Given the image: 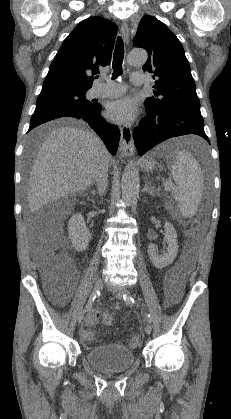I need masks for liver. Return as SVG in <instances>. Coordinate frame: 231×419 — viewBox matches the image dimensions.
I'll use <instances>...</instances> for the list:
<instances>
[{
	"label": "liver",
	"instance_id": "obj_1",
	"mask_svg": "<svg viewBox=\"0 0 231 419\" xmlns=\"http://www.w3.org/2000/svg\"><path fill=\"white\" fill-rule=\"evenodd\" d=\"M56 121L35 129L32 137L49 133L39 147L28 184V206L36 212L49 202L87 190L97 171L111 161L110 154L94 133Z\"/></svg>",
	"mask_w": 231,
	"mask_h": 419
}]
</instances>
